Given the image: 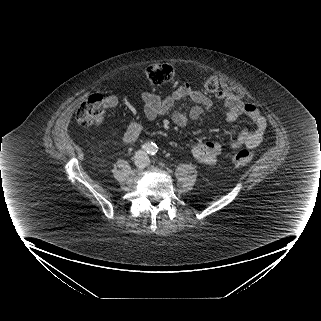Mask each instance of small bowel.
<instances>
[{"label":"small bowel","instance_id":"obj_1","mask_svg":"<svg viewBox=\"0 0 321 321\" xmlns=\"http://www.w3.org/2000/svg\"><path fill=\"white\" fill-rule=\"evenodd\" d=\"M185 98H189L194 105L188 113L174 112L172 114L171 119L173 123L179 127L185 126L189 120L198 119L213 103V99L209 95L201 90L193 89L188 83H183L164 98L154 93H144L145 116L149 120H154L158 115L170 111L177 102ZM214 99L223 102L226 108V121L232 122L241 115H244L251 123V127L242 128L226 146L216 141H207L193 145L190 149L191 155L196 160L209 166H214L217 163L218 157L225 149H236L241 146L249 149L259 147L263 141V135L267 126L266 118L256 106L244 103L238 97L224 91L215 93ZM117 102V96L114 94L106 97L108 107H115ZM140 133L141 123L139 121H132L124 133L123 141L125 143H132L137 140Z\"/></svg>","mask_w":321,"mask_h":321}]
</instances>
